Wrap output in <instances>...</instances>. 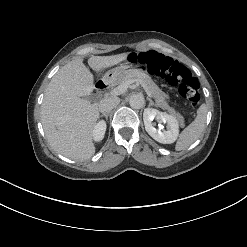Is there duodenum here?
Returning <instances> with one entry per match:
<instances>
[{
    "mask_svg": "<svg viewBox=\"0 0 247 247\" xmlns=\"http://www.w3.org/2000/svg\"><path fill=\"white\" fill-rule=\"evenodd\" d=\"M94 86L98 92H104V90L107 88L103 81H96Z\"/></svg>",
    "mask_w": 247,
    "mask_h": 247,
    "instance_id": "obj_1",
    "label": "duodenum"
}]
</instances>
